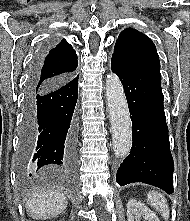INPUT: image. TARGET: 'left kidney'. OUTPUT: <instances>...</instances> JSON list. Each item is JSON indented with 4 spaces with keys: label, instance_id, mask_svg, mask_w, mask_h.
<instances>
[{
    "label": "left kidney",
    "instance_id": "left-kidney-1",
    "mask_svg": "<svg viewBox=\"0 0 190 221\" xmlns=\"http://www.w3.org/2000/svg\"><path fill=\"white\" fill-rule=\"evenodd\" d=\"M141 217L144 218V221H160L157 215L147 206L137 200L130 199L127 203L128 221H140Z\"/></svg>",
    "mask_w": 190,
    "mask_h": 221
}]
</instances>
